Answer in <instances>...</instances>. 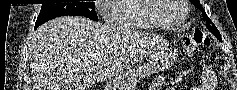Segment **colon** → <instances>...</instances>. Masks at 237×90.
I'll use <instances>...</instances> for the list:
<instances>
[{
    "mask_svg": "<svg viewBox=\"0 0 237 90\" xmlns=\"http://www.w3.org/2000/svg\"><path fill=\"white\" fill-rule=\"evenodd\" d=\"M209 44L210 38L205 32L200 30L186 36L182 41L183 48L187 52L193 51L198 46H205Z\"/></svg>",
    "mask_w": 237,
    "mask_h": 90,
    "instance_id": "colon-1",
    "label": "colon"
}]
</instances>
